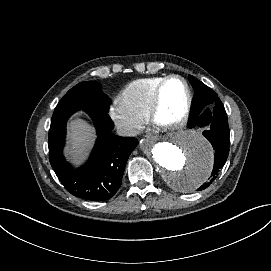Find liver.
Instances as JSON below:
<instances>
[{"mask_svg": "<svg viewBox=\"0 0 271 271\" xmlns=\"http://www.w3.org/2000/svg\"><path fill=\"white\" fill-rule=\"evenodd\" d=\"M95 137V128L85 120L76 118L70 121L65 155L70 156L74 164H81L93 147Z\"/></svg>", "mask_w": 271, "mask_h": 271, "instance_id": "obj_1", "label": "liver"}]
</instances>
